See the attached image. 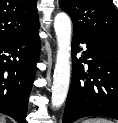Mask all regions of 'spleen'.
Returning <instances> with one entry per match:
<instances>
[{"instance_id": "1", "label": "spleen", "mask_w": 118, "mask_h": 123, "mask_svg": "<svg viewBox=\"0 0 118 123\" xmlns=\"http://www.w3.org/2000/svg\"><path fill=\"white\" fill-rule=\"evenodd\" d=\"M83 123H112V121H109L105 118H90L83 121Z\"/></svg>"}]
</instances>
